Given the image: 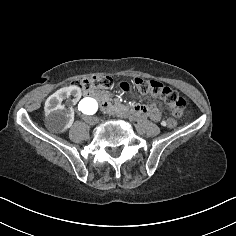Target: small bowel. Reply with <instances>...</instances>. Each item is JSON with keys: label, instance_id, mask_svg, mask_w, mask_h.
I'll return each mask as SVG.
<instances>
[{"label": "small bowel", "instance_id": "small-bowel-1", "mask_svg": "<svg viewBox=\"0 0 236 236\" xmlns=\"http://www.w3.org/2000/svg\"><path fill=\"white\" fill-rule=\"evenodd\" d=\"M134 115L137 117L149 118L152 121H159L162 117V107L159 104L134 105Z\"/></svg>", "mask_w": 236, "mask_h": 236}]
</instances>
